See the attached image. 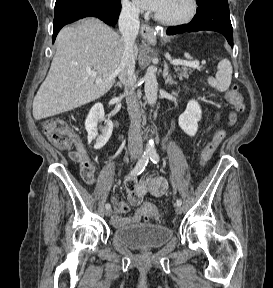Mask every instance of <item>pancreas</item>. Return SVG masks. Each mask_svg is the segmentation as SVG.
<instances>
[{
	"instance_id": "pancreas-1",
	"label": "pancreas",
	"mask_w": 273,
	"mask_h": 288,
	"mask_svg": "<svg viewBox=\"0 0 273 288\" xmlns=\"http://www.w3.org/2000/svg\"><path fill=\"white\" fill-rule=\"evenodd\" d=\"M175 71L180 79L188 78L189 74L192 72V70L186 66H183L182 68H175Z\"/></svg>"
}]
</instances>
